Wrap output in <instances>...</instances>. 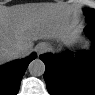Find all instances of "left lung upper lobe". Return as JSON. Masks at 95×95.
Returning <instances> with one entry per match:
<instances>
[{
  "label": "left lung upper lobe",
  "instance_id": "5c2ea615",
  "mask_svg": "<svg viewBox=\"0 0 95 95\" xmlns=\"http://www.w3.org/2000/svg\"><path fill=\"white\" fill-rule=\"evenodd\" d=\"M85 14L87 16V20H95V10L87 8L85 9Z\"/></svg>",
  "mask_w": 95,
  "mask_h": 95
}]
</instances>
